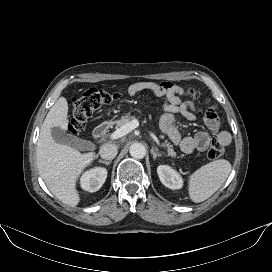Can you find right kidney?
Here are the masks:
<instances>
[{
	"mask_svg": "<svg viewBox=\"0 0 272 272\" xmlns=\"http://www.w3.org/2000/svg\"><path fill=\"white\" fill-rule=\"evenodd\" d=\"M107 178L105 168L96 167L85 172L81 177V187L89 192L98 191Z\"/></svg>",
	"mask_w": 272,
	"mask_h": 272,
	"instance_id": "obj_1",
	"label": "right kidney"
}]
</instances>
